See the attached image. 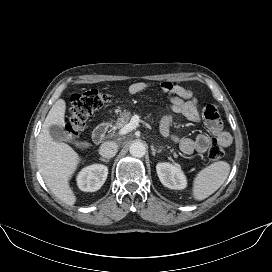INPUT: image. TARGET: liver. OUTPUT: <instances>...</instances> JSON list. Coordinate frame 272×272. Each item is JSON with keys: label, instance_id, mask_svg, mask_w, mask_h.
<instances>
[{"label": "liver", "instance_id": "liver-1", "mask_svg": "<svg viewBox=\"0 0 272 272\" xmlns=\"http://www.w3.org/2000/svg\"><path fill=\"white\" fill-rule=\"evenodd\" d=\"M66 102L58 99L50 109L37 140V166L47 187L63 203L74 205L76 196L69 181L81 161L79 154L67 144L54 141L49 128L64 126Z\"/></svg>", "mask_w": 272, "mask_h": 272}]
</instances>
